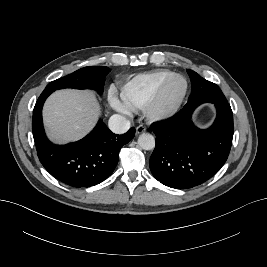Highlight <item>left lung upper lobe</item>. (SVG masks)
<instances>
[{
	"instance_id": "1",
	"label": "left lung upper lobe",
	"mask_w": 267,
	"mask_h": 267,
	"mask_svg": "<svg viewBox=\"0 0 267 267\" xmlns=\"http://www.w3.org/2000/svg\"><path fill=\"white\" fill-rule=\"evenodd\" d=\"M187 73L189 74V77H190L191 82H192V89H191L190 97H193L196 94L206 93L207 91L212 89V90H214V92H215L214 95L216 97L225 98L222 91L220 90V88L216 84L203 79L200 75H198L193 70L188 69Z\"/></svg>"
}]
</instances>
